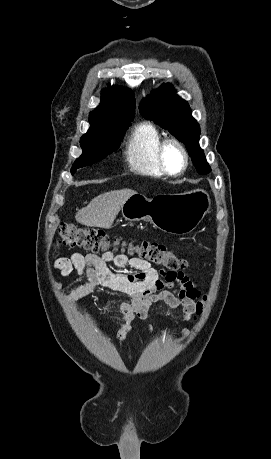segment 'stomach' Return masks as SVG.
<instances>
[{"mask_svg":"<svg viewBox=\"0 0 271 459\" xmlns=\"http://www.w3.org/2000/svg\"><path fill=\"white\" fill-rule=\"evenodd\" d=\"M210 206L205 190H193L187 194H160L152 200L135 194L121 206V212L130 224L146 220L166 233L183 235L197 228Z\"/></svg>","mask_w":271,"mask_h":459,"instance_id":"1","label":"stomach"}]
</instances>
